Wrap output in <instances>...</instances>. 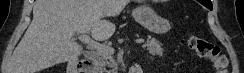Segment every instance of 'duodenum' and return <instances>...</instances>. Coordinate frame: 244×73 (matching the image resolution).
<instances>
[{
  "instance_id": "410a0bca",
  "label": "duodenum",
  "mask_w": 244,
  "mask_h": 73,
  "mask_svg": "<svg viewBox=\"0 0 244 73\" xmlns=\"http://www.w3.org/2000/svg\"><path fill=\"white\" fill-rule=\"evenodd\" d=\"M135 67L130 70V73H135ZM68 73H95V66L89 61H81L74 57L68 64Z\"/></svg>"
}]
</instances>
